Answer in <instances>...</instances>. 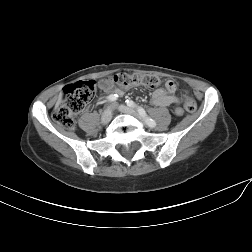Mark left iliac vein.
<instances>
[{"label":"left iliac vein","mask_w":252,"mask_h":252,"mask_svg":"<svg viewBox=\"0 0 252 252\" xmlns=\"http://www.w3.org/2000/svg\"><path fill=\"white\" fill-rule=\"evenodd\" d=\"M119 111L122 112V113H125V114H130L140 120H144L135 110H133L132 108L130 107H127V106H124V105H120L118 107Z\"/></svg>","instance_id":"1"}]
</instances>
